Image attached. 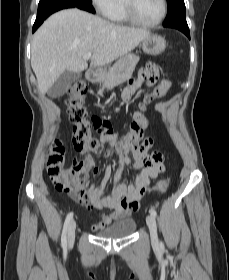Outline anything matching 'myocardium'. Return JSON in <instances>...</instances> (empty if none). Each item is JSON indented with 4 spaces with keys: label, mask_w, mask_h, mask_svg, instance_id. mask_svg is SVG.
<instances>
[{
    "label": "myocardium",
    "mask_w": 229,
    "mask_h": 280,
    "mask_svg": "<svg viewBox=\"0 0 229 280\" xmlns=\"http://www.w3.org/2000/svg\"><path fill=\"white\" fill-rule=\"evenodd\" d=\"M161 3H162L161 14L157 19L153 21H143L139 19L134 13L132 0H123V7L126 16L130 22H132L135 25H139L143 27H153L160 24L167 15V9H168L167 0H161Z\"/></svg>",
    "instance_id": "1"
}]
</instances>
